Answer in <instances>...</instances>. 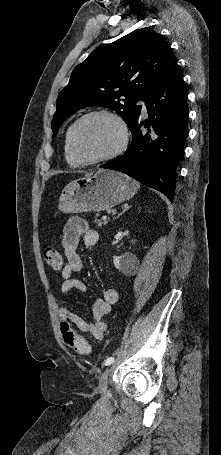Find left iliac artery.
Masks as SVG:
<instances>
[{
	"instance_id": "1",
	"label": "left iliac artery",
	"mask_w": 221,
	"mask_h": 455,
	"mask_svg": "<svg viewBox=\"0 0 221 455\" xmlns=\"http://www.w3.org/2000/svg\"><path fill=\"white\" fill-rule=\"evenodd\" d=\"M113 362H114V357H109V358L106 359L105 365H106V366H107V365H110V364H112Z\"/></svg>"
}]
</instances>
